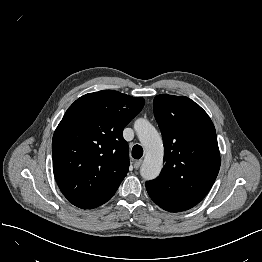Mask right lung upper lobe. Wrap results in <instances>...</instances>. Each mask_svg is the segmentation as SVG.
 Listing matches in <instances>:
<instances>
[{
    "label": "right lung upper lobe",
    "instance_id": "cb5924a9",
    "mask_svg": "<svg viewBox=\"0 0 262 262\" xmlns=\"http://www.w3.org/2000/svg\"><path fill=\"white\" fill-rule=\"evenodd\" d=\"M144 99L114 90L86 94L66 111L52 140L53 171L64 196L83 209L113 197L129 169L124 127Z\"/></svg>",
    "mask_w": 262,
    "mask_h": 262
}]
</instances>
